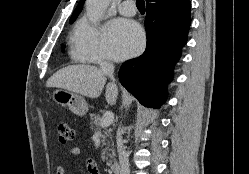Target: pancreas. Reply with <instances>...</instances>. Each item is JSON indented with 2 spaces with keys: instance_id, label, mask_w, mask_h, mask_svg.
Returning <instances> with one entry per match:
<instances>
[{
  "instance_id": "pancreas-1",
  "label": "pancreas",
  "mask_w": 249,
  "mask_h": 174,
  "mask_svg": "<svg viewBox=\"0 0 249 174\" xmlns=\"http://www.w3.org/2000/svg\"><path fill=\"white\" fill-rule=\"evenodd\" d=\"M90 127L92 130H98L101 132L100 121L101 117L96 114H90ZM102 147V160L106 161L107 166H111L114 158V144L112 142L111 129L104 128L100 134Z\"/></svg>"
}]
</instances>
